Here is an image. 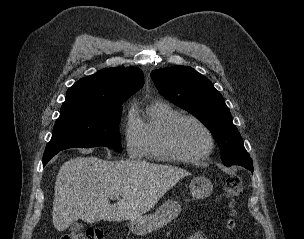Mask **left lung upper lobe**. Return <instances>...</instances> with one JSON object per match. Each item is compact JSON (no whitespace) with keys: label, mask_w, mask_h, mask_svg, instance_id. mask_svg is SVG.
Here are the masks:
<instances>
[{"label":"left lung upper lobe","mask_w":304,"mask_h":239,"mask_svg":"<svg viewBox=\"0 0 304 239\" xmlns=\"http://www.w3.org/2000/svg\"><path fill=\"white\" fill-rule=\"evenodd\" d=\"M151 77L166 99L197 116L217 141L223 164L253 171L252 159L222 95L205 76L188 66L154 70Z\"/></svg>","instance_id":"obj_1"}]
</instances>
